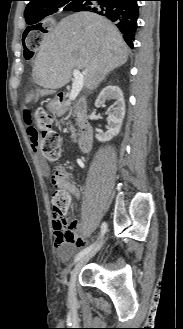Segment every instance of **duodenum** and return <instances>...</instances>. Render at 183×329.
<instances>
[{"label": "duodenum", "mask_w": 183, "mask_h": 329, "mask_svg": "<svg viewBox=\"0 0 183 329\" xmlns=\"http://www.w3.org/2000/svg\"><path fill=\"white\" fill-rule=\"evenodd\" d=\"M58 100L63 104L68 103V95L64 92L58 94ZM76 107L81 120V133L79 135V149L86 154L90 151L92 145V127L87 120V103L84 98H79L76 101Z\"/></svg>", "instance_id": "obj_1"}]
</instances>
